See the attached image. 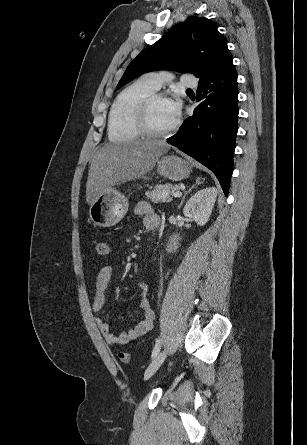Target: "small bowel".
<instances>
[{
	"label": "small bowel",
	"instance_id": "small-bowel-1",
	"mask_svg": "<svg viewBox=\"0 0 307 445\" xmlns=\"http://www.w3.org/2000/svg\"><path fill=\"white\" fill-rule=\"evenodd\" d=\"M135 213L137 215H145L144 225L149 232H151L153 235H156L159 232L161 224L160 217L151 210L148 204L144 202L139 203L135 207ZM112 275L113 267L111 265L104 266L98 272L96 277V293L92 308L93 311L98 314L96 317V323L105 341L109 345H124L146 334L153 325L155 315L150 307V302L147 297L148 284L143 282L140 284L142 297L139 301V307L142 311L141 319L128 331L114 335L111 332L109 322L103 316H101L104 311L106 299L105 293L112 279Z\"/></svg>",
	"mask_w": 307,
	"mask_h": 445
}]
</instances>
